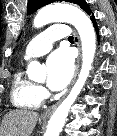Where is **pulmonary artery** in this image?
Masks as SVG:
<instances>
[{
	"label": "pulmonary artery",
	"mask_w": 117,
	"mask_h": 136,
	"mask_svg": "<svg viewBox=\"0 0 117 136\" xmlns=\"http://www.w3.org/2000/svg\"><path fill=\"white\" fill-rule=\"evenodd\" d=\"M69 35L68 29L60 24L44 29L27 44L24 58L28 60L46 54L55 41L66 38Z\"/></svg>",
	"instance_id": "1"
}]
</instances>
